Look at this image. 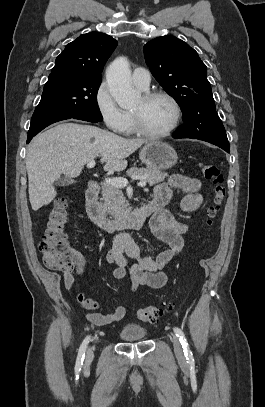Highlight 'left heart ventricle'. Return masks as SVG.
Segmentation results:
<instances>
[{
	"instance_id": "b2bd125f",
	"label": "left heart ventricle",
	"mask_w": 265,
	"mask_h": 407,
	"mask_svg": "<svg viewBox=\"0 0 265 407\" xmlns=\"http://www.w3.org/2000/svg\"><path fill=\"white\" fill-rule=\"evenodd\" d=\"M131 111L137 113L143 127L152 132L167 129L174 119V108L165 98L144 101L141 97Z\"/></svg>"
}]
</instances>
